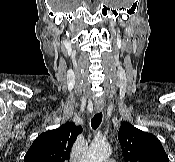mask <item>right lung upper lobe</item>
<instances>
[{
    "label": "right lung upper lobe",
    "mask_w": 175,
    "mask_h": 162,
    "mask_svg": "<svg viewBox=\"0 0 175 162\" xmlns=\"http://www.w3.org/2000/svg\"><path fill=\"white\" fill-rule=\"evenodd\" d=\"M81 126L66 123L40 134L28 149L24 162H69L71 147Z\"/></svg>",
    "instance_id": "obj_1"
}]
</instances>
